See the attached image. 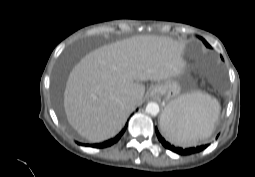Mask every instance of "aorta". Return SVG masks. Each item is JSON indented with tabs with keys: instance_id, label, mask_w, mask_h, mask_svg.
Instances as JSON below:
<instances>
[{
	"instance_id": "aorta-1",
	"label": "aorta",
	"mask_w": 255,
	"mask_h": 177,
	"mask_svg": "<svg viewBox=\"0 0 255 177\" xmlns=\"http://www.w3.org/2000/svg\"><path fill=\"white\" fill-rule=\"evenodd\" d=\"M145 111L146 113L155 116L159 113V105L155 102H150L147 104Z\"/></svg>"
}]
</instances>
